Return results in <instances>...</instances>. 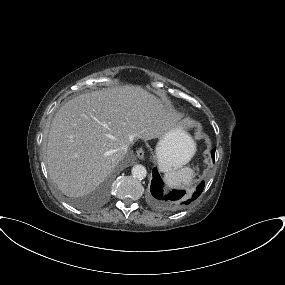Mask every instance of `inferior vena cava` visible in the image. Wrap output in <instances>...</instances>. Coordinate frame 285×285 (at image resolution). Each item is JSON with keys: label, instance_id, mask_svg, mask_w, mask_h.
<instances>
[{"label": "inferior vena cava", "instance_id": "obj_1", "mask_svg": "<svg viewBox=\"0 0 285 285\" xmlns=\"http://www.w3.org/2000/svg\"><path fill=\"white\" fill-rule=\"evenodd\" d=\"M127 149H128V146L127 145H123L121 148H120V154L122 156H124L127 152Z\"/></svg>", "mask_w": 285, "mask_h": 285}]
</instances>
